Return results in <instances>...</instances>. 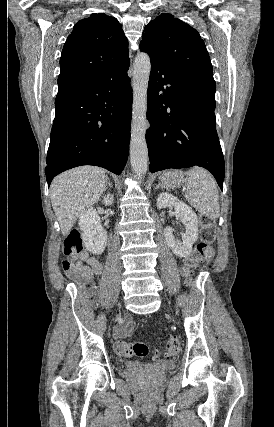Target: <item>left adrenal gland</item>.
I'll use <instances>...</instances> for the list:
<instances>
[{
  "label": "left adrenal gland",
  "instance_id": "left-adrenal-gland-1",
  "mask_svg": "<svg viewBox=\"0 0 274 427\" xmlns=\"http://www.w3.org/2000/svg\"><path fill=\"white\" fill-rule=\"evenodd\" d=\"M157 188H160V186H156V190H157Z\"/></svg>",
  "mask_w": 274,
  "mask_h": 427
}]
</instances>
